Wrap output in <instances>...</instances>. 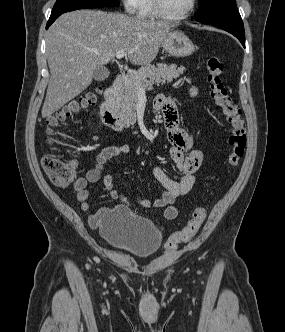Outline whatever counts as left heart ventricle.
<instances>
[{
    "label": "left heart ventricle",
    "mask_w": 285,
    "mask_h": 332,
    "mask_svg": "<svg viewBox=\"0 0 285 332\" xmlns=\"http://www.w3.org/2000/svg\"><path fill=\"white\" fill-rule=\"evenodd\" d=\"M191 0H163L165 11L172 16L183 14L190 6Z\"/></svg>",
    "instance_id": "obj_1"
}]
</instances>
